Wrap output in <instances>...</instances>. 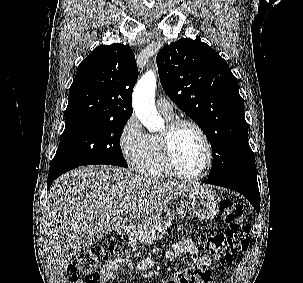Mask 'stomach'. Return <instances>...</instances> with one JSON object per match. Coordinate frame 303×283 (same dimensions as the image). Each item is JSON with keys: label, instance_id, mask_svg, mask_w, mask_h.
<instances>
[{"label": "stomach", "instance_id": "0dacf381", "mask_svg": "<svg viewBox=\"0 0 303 283\" xmlns=\"http://www.w3.org/2000/svg\"><path fill=\"white\" fill-rule=\"evenodd\" d=\"M220 197L215 191L199 187L187 193L176 210V214L183 219L197 216L200 219H211L218 211ZM174 213L166 210L160 214L140 221L138 228L143 231H154L156 233L166 230L172 225Z\"/></svg>", "mask_w": 303, "mask_h": 283}]
</instances>
